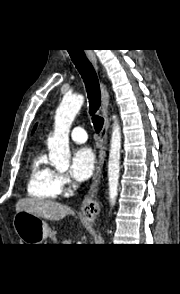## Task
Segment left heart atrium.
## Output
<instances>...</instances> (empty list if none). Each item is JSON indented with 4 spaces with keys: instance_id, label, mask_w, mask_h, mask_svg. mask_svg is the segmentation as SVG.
Masks as SVG:
<instances>
[{
    "instance_id": "obj_1",
    "label": "left heart atrium",
    "mask_w": 180,
    "mask_h": 294,
    "mask_svg": "<svg viewBox=\"0 0 180 294\" xmlns=\"http://www.w3.org/2000/svg\"><path fill=\"white\" fill-rule=\"evenodd\" d=\"M95 154L89 147L79 148L74 152L70 173L77 181L87 180L94 172Z\"/></svg>"
}]
</instances>
